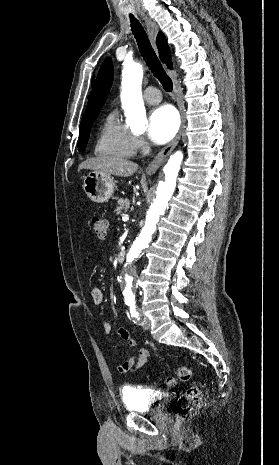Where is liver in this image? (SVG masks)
<instances>
[{"mask_svg": "<svg viewBox=\"0 0 279 465\" xmlns=\"http://www.w3.org/2000/svg\"><path fill=\"white\" fill-rule=\"evenodd\" d=\"M82 169H90L105 175L129 177L137 171L138 165L133 161L120 157L99 156L82 162L78 170Z\"/></svg>", "mask_w": 279, "mask_h": 465, "instance_id": "obj_1", "label": "liver"}]
</instances>
